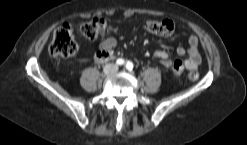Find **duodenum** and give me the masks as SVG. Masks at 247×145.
<instances>
[{"label": "duodenum", "mask_w": 247, "mask_h": 145, "mask_svg": "<svg viewBox=\"0 0 247 145\" xmlns=\"http://www.w3.org/2000/svg\"><path fill=\"white\" fill-rule=\"evenodd\" d=\"M114 59V55L109 52H99L96 54V60L99 62H107Z\"/></svg>", "instance_id": "1"}]
</instances>
